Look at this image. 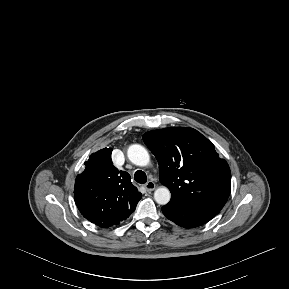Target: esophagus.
<instances>
[{"mask_svg": "<svg viewBox=\"0 0 289 289\" xmlns=\"http://www.w3.org/2000/svg\"><path fill=\"white\" fill-rule=\"evenodd\" d=\"M156 185L153 181H148L146 184H145V188L148 192L150 191H153L155 189Z\"/></svg>", "mask_w": 289, "mask_h": 289, "instance_id": "esophagus-1", "label": "esophagus"}]
</instances>
